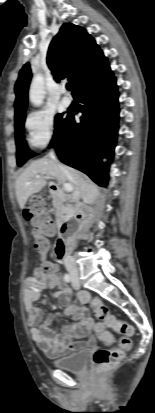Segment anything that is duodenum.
Returning a JSON list of instances; mask_svg holds the SVG:
<instances>
[{
  "instance_id": "1",
  "label": "duodenum",
  "mask_w": 155,
  "mask_h": 413,
  "mask_svg": "<svg viewBox=\"0 0 155 413\" xmlns=\"http://www.w3.org/2000/svg\"><path fill=\"white\" fill-rule=\"evenodd\" d=\"M50 189L52 193L62 195L57 187L52 186ZM82 219V214L80 210L77 209L71 213L69 219L64 220L60 225L55 243V255L58 259H64L68 253L69 238L72 233L73 222L80 223Z\"/></svg>"
}]
</instances>
